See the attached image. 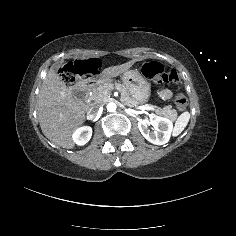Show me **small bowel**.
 <instances>
[{
  "instance_id": "obj_1",
  "label": "small bowel",
  "mask_w": 236,
  "mask_h": 236,
  "mask_svg": "<svg viewBox=\"0 0 236 236\" xmlns=\"http://www.w3.org/2000/svg\"><path fill=\"white\" fill-rule=\"evenodd\" d=\"M160 96L164 99H168L172 96V92L170 90H163L160 92Z\"/></svg>"
}]
</instances>
